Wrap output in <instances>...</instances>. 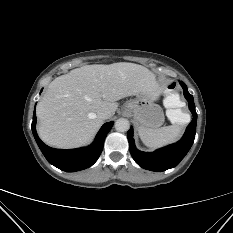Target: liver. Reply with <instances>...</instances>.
<instances>
[{
  "label": "liver",
  "instance_id": "liver-1",
  "mask_svg": "<svg viewBox=\"0 0 233 233\" xmlns=\"http://www.w3.org/2000/svg\"><path fill=\"white\" fill-rule=\"evenodd\" d=\"M140 92L154 98L160 94L154 75L144 66L119 62L76 68L55 78L38 102V134L53 147H80L103 124L100 110L113 115L116 101Z\"/></svg>",
  "mask_w": 233,
  "mask_h": 233
}]
</instances>
